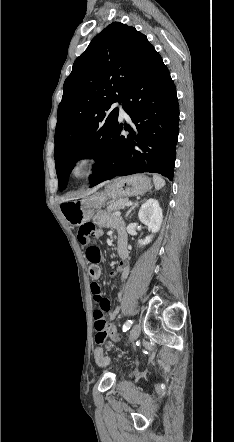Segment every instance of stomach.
<instances>
[{
	"label": "stomach",
	"mask_w": 234,
	"mask_h": 442,
	"mask_svg": "<svg viewBox=\"0 0 234 442\" xmlns=\"http://www.w3.org/2000/svg\"><path fill=\"white\" fill-rule=\"evenodd\" d=\"M152 187L151 179L145 175H132L117 178L103 191L90 196L61 203V211L71 225H81L90 221L108 199L117 200L146 193Z\"/></svg>",
	"instance_id": "1"
}]
</instances>
